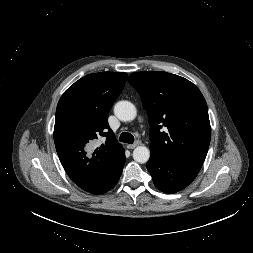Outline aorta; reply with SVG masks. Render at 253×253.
<instances>
[{"instance_id": "762f6f07", "label": "aorta", "mask_w": 253, "mask_h": 253, "mask_svg": "<svg viewBox=\"0 0 253 253\" xmlns=\"http://www.w3.org/2000/svg\"><path fill=\"white\" fill-rule=\"evenodd\" d=\"M114 113L121 121H132L137 115L136 107L129 101H119L114 106ZM150 158V150L146 146H138L133 151V159L138 163H146Z\"/></svg>"}]
</instances>
